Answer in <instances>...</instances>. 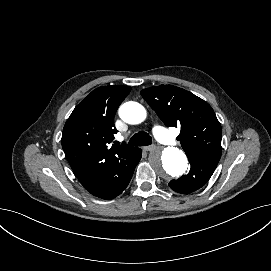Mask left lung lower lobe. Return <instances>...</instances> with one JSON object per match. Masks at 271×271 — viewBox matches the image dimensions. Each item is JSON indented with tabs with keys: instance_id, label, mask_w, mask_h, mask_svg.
I'll return each mask as SVG.
<instances>
[{
	"instance_id": "1",
	"label": "left lung lower lobe",
	"mask_w": 271,
	"mask_h": 271,
	"mask_svg": "<svg viewBox=\"0 0 271 271\" xmlns=\"http://www.w3.org/2000/svg\"><path fill=\"white\" fill-rule=\"evenodd\" d=\"M188 159L191 165L188 174L169 182L170 188L181 194H189L203 187L219 162L213 161L209 156Z\"/></svg>"
}]
</instances>
